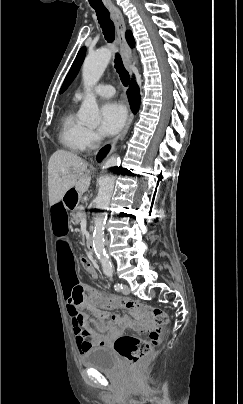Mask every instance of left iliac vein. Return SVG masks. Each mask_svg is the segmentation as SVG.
Returning a JSON list of instances; mask_svg holds the SVG:
<instances>
[{
    "label": "left iliac vein",
    "instance_id": "4c4485c4",
    "mask_svg": "<svg viewBox=\"0 0 243 404\" xmlns=\"http://www.w3.org/2000/svg\"><path fill=\"white\" fill-rule=\"evenodd\" d=\"M122 293L124 295H128L130 293V288H129V286L127 284H123Z\"/></svg>",
    "mask_w": 243,
    "mask_h": 404
}]
</instances>
